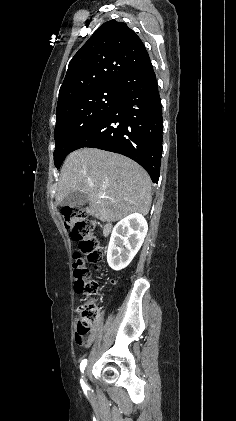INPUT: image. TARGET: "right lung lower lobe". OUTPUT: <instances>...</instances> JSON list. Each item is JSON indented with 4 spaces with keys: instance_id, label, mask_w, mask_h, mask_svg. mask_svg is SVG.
Segmentation results:
<instances>
[{
    "instance_id": "obj_1",
    "label": "right lung lower lobe",
    "mask_w": 236,
    "mask_h": 421,
    "mask_svg": "<svg viewBox=\"0 0 236 421\" xmlns=\"http://www.w3.org/2000/svg\"><path fill=\"white\" fill-rule=\"evenodd\" d=\"M120 99L105 118L75 145L125 155L139 163L158 183L163 118L158 84L151 61L118 82Z\"/></svg>"
}]
</instances>
